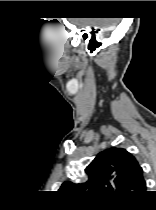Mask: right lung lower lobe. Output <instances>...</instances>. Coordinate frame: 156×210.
Segmentation results:
<instances>
[{"instance_id": "right-lung-lower-lobe-1", "label": "right lung lower lobe", "mask_w": 156, "mask_h": 210, "mask_svg": "<svg viewBox=\"0 0 156 210\" xmlns=\"http://www.w3.org/2000/svg\"><path fill=\"white\" fill-rule=\"evenodd\" d=\"M144 193H145V192H144ZM144 193H143V194H144ZM143 194H141L140 196H138V197H136V198L132 199L131 201L138 200L139 198H141V196H142Z\"/></svg>"}]
</instances>
